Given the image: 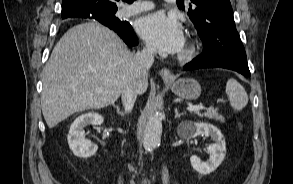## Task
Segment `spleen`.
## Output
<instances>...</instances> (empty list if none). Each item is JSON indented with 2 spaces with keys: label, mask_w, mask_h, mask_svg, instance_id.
<instances>
[{
  "label": "spleen",
  "mask_w": 293,
  "mask_h": 184,
  "mask_svg": "<svg viewBox=\"0 0 293 184\" xmlns=\"http://www.w3.org/2000/svg\"><path fill=\"white\" fill-rule=\"evenodd\" d=\"M226 94L231 107L235 111L242 110L248 103V95L243 86L234 78H230L226 83Z\"/></svg>",
  "instance_id": "spleen-1"
}]
</instances>
